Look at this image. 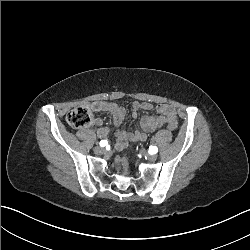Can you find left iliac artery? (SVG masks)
Segmentation results:
<instances>
[{"mask_svg": "<svg viewBox=\"0 0 250 250\" xmlns=\"http://www.w3.org/2000/svg\"><path fill=\"white\" fill-rule=\"evenodd\" d=\"M149 150L150 154H156L158 152V148L156 146H150Z\"/></svg>", "mask_w": 250, "mask_h": 250, "instance_id": "44dca946", "label": "left iliac artery"}]
</instances>
